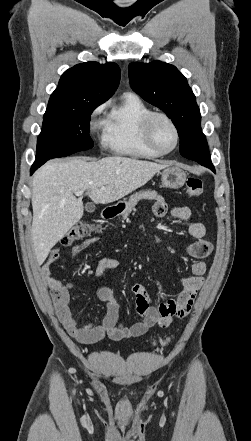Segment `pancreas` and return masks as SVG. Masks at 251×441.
Listing matches in <instances>:
<instances>
[{
  "label": "pancreas",
  "mask_w": 251,
  "mask_h": 441,
  "mask_svg": "<svg viewBox=\"0 0 251 441\" xmlns=\"http://www.w3.org/2000/svg\"><path fill=\"white\" fill-rule=\"evenodd\" d=\"M142 199L162 200L163 198L160 195H158L156 191H152V190H143V191L136 192L129 197V200L127 202V207L122 215L123 218H127L129 216V214L131 213V211L136 206V204L138 203V201H140Z\"/></svg>",
  "instance_id": "1"
}]
</instances>
